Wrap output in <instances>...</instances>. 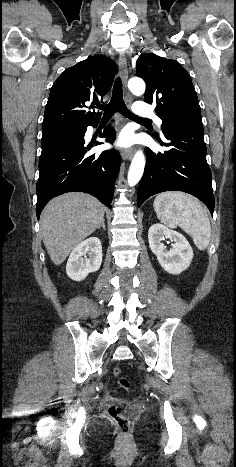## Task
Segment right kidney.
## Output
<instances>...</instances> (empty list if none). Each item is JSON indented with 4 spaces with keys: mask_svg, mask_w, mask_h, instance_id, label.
<instances>
[{
    "mask_svg": "<svg viewBox=\"0 0 236 467\" xmlns=\"http://www.w3.org/2000/svg\"><path fill=\"white\" fill-rule=\"evenodd\" d=\"M101 263V241L97 237H90L72 250L66 265V273L72 280L81 281L89 273L99 270Z\"/></svg>",
    "mask_w": 236,
    "mask_h": 467,
    "instance_id": "ca27d5eb",
    "label": "right kidney"
}]
</instances>
